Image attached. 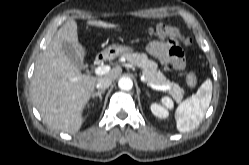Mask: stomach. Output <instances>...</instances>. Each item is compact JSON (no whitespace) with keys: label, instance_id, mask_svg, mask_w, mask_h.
<instances>
[{"label":"stomach","instance_id":"1","mask_svg":"<svg viewBox=\"0 0 249 165\" xmlns=\"http://www.w3.org/2000/svg\"><path fill=\"white\" fill-rule=\"evenodd\" d=\"M132 51H133V48L130 46L113 44L107 47L101 54L104 59H113L119 55L130 53Z\"/></svg>","mask_w":249,"mask_h":165}]
</instances>
